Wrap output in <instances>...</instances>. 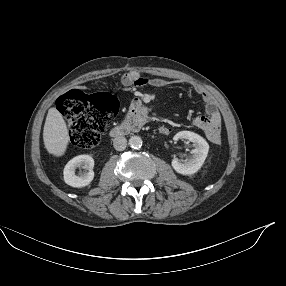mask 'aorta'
<instances>
[{"mask_svg": "<svg viewBox=\"0 0 286 286\" xmlns=\"http://www.w3.org/2000/svg\"><path fill=\"white\" fill-rule=\"evenodd\" d=\"M142 139L139 136H132L129 139V145L133 149H139L142 146Z\"/></svg>", "mask_w": 286, "mask_h": 286, "instance_id": "1", "label": "aorta"}]
</instances>
